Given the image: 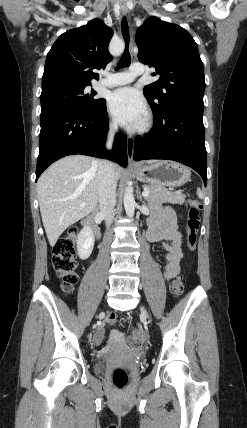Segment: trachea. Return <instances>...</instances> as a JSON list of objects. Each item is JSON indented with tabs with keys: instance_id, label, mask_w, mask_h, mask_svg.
<instances>
[{
	"instance_id": "trachea-1",
	"label": "trachea",
	"mask_w": 247,
	"mask_h": 428,
	"mask_svg": "<svg viewBox=\"0 0 247 428\" xmlns=\"http://www.w3.org/2000/svg\"><path fill=\"white\" fill-rule=\"evenodd\" d=\"M122 35L126 43V48L124 50V53L121 56V59L119 60L117 64V68L126 67L129 65L131 57L128 50L129 45V30H128V23L125 17L122 19Z\"/></svg>"
}]
</instances>
